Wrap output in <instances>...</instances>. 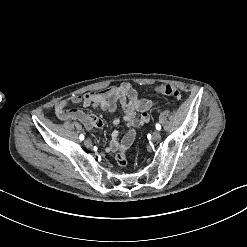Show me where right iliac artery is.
<instances>
[{
    "label": "right iliac artery",
    "instance_id": "82829eb1",
    "mask_svg": "<svg viewBox=\"0 0 247 247\" xmlns=\"http://www.w3.org/2000/svg\"><path fill=\"white\" fill-rule=\"evenodd\" d=\"M79 139L80 140H84V135L83 134H80Z\"/></svg>",
    "mask_w": 247,
    "mask_h": 247
}]
</instances>
